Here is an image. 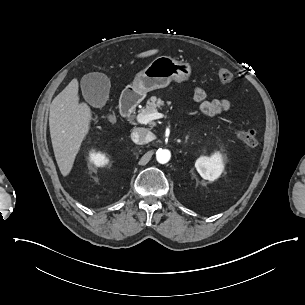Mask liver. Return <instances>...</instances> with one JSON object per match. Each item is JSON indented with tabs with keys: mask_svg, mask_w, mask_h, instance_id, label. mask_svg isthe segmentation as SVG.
Returning a JSON list of instances; mask_svg holds the SVG:
<instances>
[{
	"mask_svg": "<svg viewBox=\"0 0 305 305\" xmlns=\"http://www.w3.org/2000/svg\"><path fill=\"white\" fill-rule=\"evenodd\" d=\"M158 53L157 49L137 55L143 58ZM92 112L86 103H79L78 80L73 79L50 104L49 126L54 155L63 176H67L89 131Z\"/></svg>",
	"mask_w": 305,
	"mask_h": 305,
	"instance_id": "obj_1",
	"label": "liver"
}]
</instances>
